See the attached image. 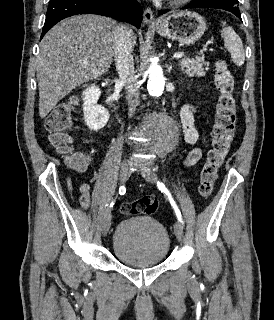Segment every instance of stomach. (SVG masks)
I'll list each match as a JSON object with an SVG mask.
<instances>
[{"label":"stomach","mask_w":274,"mask_h":320,"mask_svg":"<svg viewBox=\"0 0 274 320\" xmlns=\"http://www.w3.org/2000/svg\"><path fill=\"white\" fill-rule=\"evenodd\" d=\"M160 26H152L151 30L163 38L176 40L180 44L191 46L202 38L207 30L206 22L196 12H178L159 20Z\"/></svg>","instance_id":"stomach-1"}]
</instances>
